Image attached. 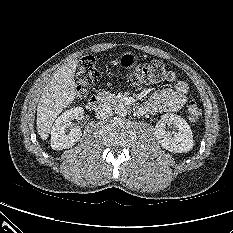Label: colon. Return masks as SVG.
Segmentation results:
<instances>
[{
  "instance_id": "colon-1",
  "label": "colon",
  "mask_w": 233,
  "mask_h": 233,
  "mask_svg": "<svg viewBox=\"0 0 233 233\" xmlns=\"http://www.w3.org/2000/svg\"><path fill=\"white\" fill-rule=\"evenodd\" d=\"M98 61L99 58L95 55H87L81 59L76 75V93L78 98H86L94 82L100 77L101 72L98 67ZM128 79L132 84H154L173 81L175 74L164 63L152 61L136 66ZM186 117L192 124L199 122L201 110L195 101L187 103Z\"/></svg>"
}]
</instances>
